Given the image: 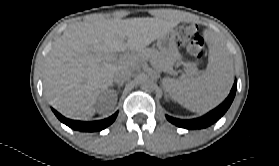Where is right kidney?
<instances>
[{"label":"right kidney","mask_w":279,"mask_h":166,"mask_svg":"<svg viewBox=\"0 0 279 166\" xmlns=\"http://www.w3.org/2000/svg\"><path fill=\"white\" fill-rule=\"evenodd\" d=\"M111 92H112V91H109L108 93H111ZM106 99H107V94H106V93L100 97V100H102V101H105ZM116 102H117V95L114 94V93H112V102H111V105L116 104Z\"/></svg>","instance_id":"right-kidney-1"}]
</instances>
